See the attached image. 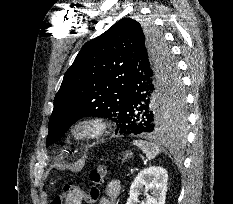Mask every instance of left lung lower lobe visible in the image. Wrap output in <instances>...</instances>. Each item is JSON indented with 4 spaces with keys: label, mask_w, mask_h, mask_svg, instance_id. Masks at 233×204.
<instances>
[{
    "label": "left lung lower lobe",
    "mask_w": 233,
    "mask_h": 204,
    "mask_svg": "<svg viewBox=\"0 0 233 204\" xmlns=\"http://www.w3.org/2000/svg\"><path fill=\"white\" fill-rule=\"evenodd\" d=\"M161 60L162 56L159 55L155 67L149 49L141 48L138 52L130 73L128 94L121 105L118 133L137 135L160 132V108L167 96V88L173 89L177 81L181 80L175 64L168 84L160 71ZM183 125L164 132L177 131L181 138Z\"/></svg>",
    "instance_id": "obj_1"
}]
</instances>
